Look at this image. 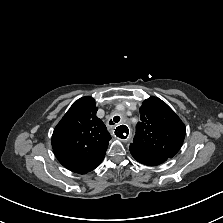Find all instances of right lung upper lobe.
I'll return each mask as SVG.
<instances>
[{
	"label": "right lung upper lobe",
	"mask_w": 223,
	"mask_h": 223,
	"mask_svg": "<svg viewBox=\"0 0 223 223\" xmlns=\"http://www.w3.org/2000/svg\"><path fill=\"white\" fill-rule=\"evenodd\" d=\"M97 109L92 97H82L74 102L54 129V154L72 172L88 173L104 159L111 136L96 116Z\"/></svg>",
	"instance_id": "1"
}]
</instances>
